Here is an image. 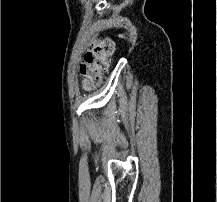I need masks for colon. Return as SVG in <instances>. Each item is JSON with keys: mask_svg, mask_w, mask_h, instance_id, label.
<instances>
[{"mask_svg": "<svg viewBox=\"0 0 217 202\" xmlns=\"http://www.w3.org/2000/svg\"><path fill=\"white\" fill-rule=\"evenodd\" d=\"M113 50L114 41L110 38L92 41L79 67V71L84 78V88L89 89L101 83L104 75L109 70L108 61Z\"/></svg>", "mask_w": 217, "mask_h": 202, "instance_id": "colon-1", "label": "colon"}]
</instances>
